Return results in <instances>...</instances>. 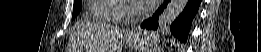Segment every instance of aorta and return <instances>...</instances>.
Wrapping results in <instances>:
<instances>
[{
	"mask_svg": "<svg viewBox=\"0 0 261 52\" xmlns=\"http://www.w3.org/2000/svg\"><path fill=\"white\" fill-rule=\"evenodd\" d=\"M187 2V0H171L159 18V26L161 28L170 26L183 12Z\"/></svg>",
	"mask_w": 261,
	"mask_h": 52,
	"instance_id": "obj_1",
	"label": "aorta"
}]
</instances>
